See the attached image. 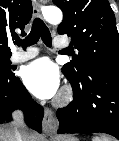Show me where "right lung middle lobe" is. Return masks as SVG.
<instances>
[{"instance_id": "dd1d6c3e", "label": "right lung middle lobe", "mask_w": 119, "mask_h": 141, "mask_svg": "<svg viewBox=\"0 0 119 141\" xmlns=\"http://www.w3.org/2000/svg\"><path fill=\"white\" fill-rule=\"evenodd\" d=\"M11 68L10 57H0V74L7 77L11 76L13 74Z\"/></svg>"}]
</instances>
